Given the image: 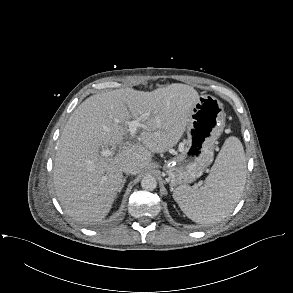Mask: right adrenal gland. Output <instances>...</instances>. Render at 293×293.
Segmentation results:
<instances>
[{
    "label": "right adrenal gland",
    "mask_w": 293,
    "mask_h": 293,
    "mask_svg": "<svg viewBox=\"0 0 293 293\" xmlns=\"http://www.w3.org/2000/svg\"><path fill=\"white\" fill-rule=\"evenodd\" d=\"M124 180H125V178H124ZM122 188H123V185H122V187L120 188L119 192L121 191Z\"/></svg>",
    "instance_id": "2a0ac1e0"
}]
</instances>
